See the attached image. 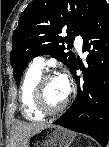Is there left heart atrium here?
<instances>
[{
	"mask_svg": "<svg viewBox=\"0 0 109 147\" xmlns=\"http://www.w3.org/2000/svg\"><path fill=\"white\" fill-rule=\"evenodd\" d=\"M60 81L62 82V85L64 87V90L66 94L69 93L70 91V82H69V77L67 74L63 73L59 76Z\"/></svg>",
	"mask_w": 109,
	"mask_h": 147,
	"instance_id": "left-heart-atrium-1",
	"label": "left heart atrium"
}]
</instances>
